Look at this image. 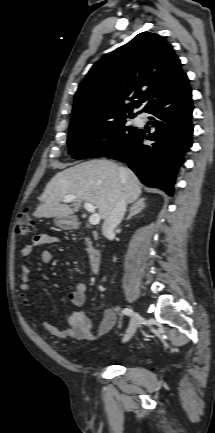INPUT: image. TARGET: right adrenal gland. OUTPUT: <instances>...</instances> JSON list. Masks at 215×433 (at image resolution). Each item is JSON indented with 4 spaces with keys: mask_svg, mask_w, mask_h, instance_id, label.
<instances>
[{
    "mask_svg": "<svg viewBox=\"0 0 215 433\" xmlns=\"http://www.w3.org/2000/svg\"><path fill=\"white\" fill-rule=\"evenodd\" d=\"M145 198H140L138 199L130 208V212L129 215L127 216L126 220H130L132 218V216L140 213L145 207Z\"/></svg>",
    "mask_w": 215,
    "mask_h": 433,
    "instance_id": "2a0ac1e0",
    "label": "right adrenal gland"
}]
</instances>
